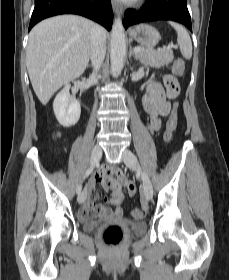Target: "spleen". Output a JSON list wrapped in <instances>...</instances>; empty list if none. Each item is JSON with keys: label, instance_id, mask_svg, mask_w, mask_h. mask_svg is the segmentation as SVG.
<instances>
[{"label": "spleen", "instance_id": "1", "mask_svg": "<svg viewBox=\"0 0 229 280\" xmlns=\"http://www.w3.org/2000/svg\"><path fill=\"white\" fill-rule=\"evenodd\" d=\"M169 24L177 32V43L179 45L181 54L185 59L192 57V42L186 29L178 23L170 21Z\"/></svg>", "mask_w": 229, "mask_h": 280}]
</instances>
